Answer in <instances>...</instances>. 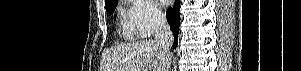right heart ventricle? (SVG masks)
I'll list each match as a JSON object with an SVG mask.
<instances>
[{
  "label": "right heart ventricle",
  "instance_id": "e07e8e85",
  "mask_svg": "<svg viewBox=\"0 0 301 71\" xmlns=\"http://www.w3.org/2000/svg\"><path fill=\"white\" fill-rule=\"evenodd\" d=\"M121 30L127 38L133 37V30H132L128 20L126 18H124L123 16L121 17Z\"/></svg>",
  "mask_w": 301,
  "mask_h": 71
}]
</instances>
